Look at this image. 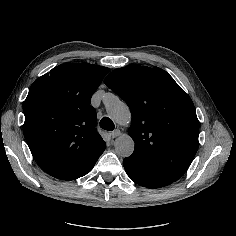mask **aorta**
<instances>
[{"label":"aorta","instance_id":"762f6f07","mask_svg":"<svg viewBox=\"0 0 236 236\" xmlns=\"http://www.w3.org/2000/svg\"><path fill=\"white\" fill-rule=\"evenodd\" d=\"M105 106L108 115L116 123L126 125L131 120V113L127 104L118 97L108 94L105 99ZM134 141L128 134H122L115 141V152L118 156L128 157L134 151Z\"/></svg>","mask_w":236,"mask_h":236}]
</instances>
